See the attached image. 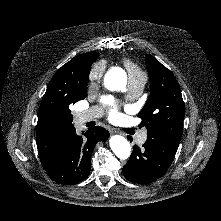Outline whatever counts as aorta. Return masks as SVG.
Here are the masks:
<instances>
[{
  "instance_id": "aorta-1",
  "label": "aorta",
  "mask_w": 221,
  "mask_h": 221,
  "mask_svg": "<svg viewBox=\"0 0 221 221\" xmlns=\"http://www.w3.org/2000/svg\"><path fill=\"white\" fill-rule=\"evenodd\" d=\"M104 84L108 90H121L126 84V73L120 69H111L105 75ZM109 143L112 151L119 159L125 160L130 156L131 146L125 137L114 135L110 138Z\"/></svg>"
}]
</instances>
